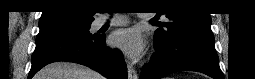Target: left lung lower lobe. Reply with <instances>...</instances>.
Returning <instances> with one entry per match:
<instances>
[{
	"mask_svg": "<svg viewBox=\"0 0 255 79\" xmlns=\"http://www.w3.org/2000/svg\"><path fill=\"white\" fill-rule=\"evenodd\" d=\"M213 34L185 33L166 45L154 42L156 53L143 68L141 79H161L178 71L202 72L224 79Z\"/></svg>",
	"mask_w": 255,
	"mask_h": 79,
	"instance_id": "0a47b994",
	"label": "left lung lower lobe"
}]
</instances>
